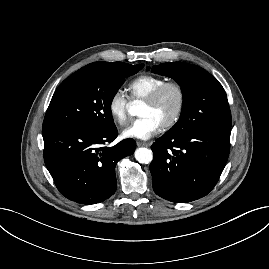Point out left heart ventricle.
Listing matches in <instances>:
<instances>
[{
    "label": "left heart ventricle",
    "mask_w": 269,
    "mask_h": 269,
    "mask_svg": "<svg viewBox=\"0 0 269 269\" xmlns=\"http://www.w3.org/2000/svg\"><path fill=\"white\" fill-rule=\"evenodd\" d=\"M178 106V94L176 90L170 88L167 89L160 99L153 105L143 103L139 112L142 116H152L161 125L166 123L174 115Z\"/></svg>",
    "instance_id": "obj_1"
}]
</instances>
